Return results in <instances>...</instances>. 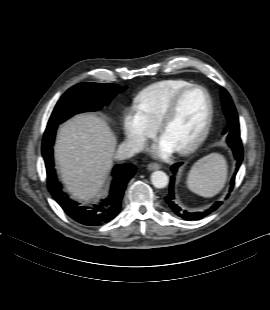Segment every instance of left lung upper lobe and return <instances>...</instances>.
<instances>
[{
	"label": "left lung upper lobe",
	"instance_id": "5c2ea615",
	"mask_svg": "<svg viewBox=\"0 0 270 310\" xmlns=\"http://www.w3.org/2000/svg\"><path fill=\"white\" fill-rule=\"evenodd\" d=\"M220 94L223 111L228 123L227 128H225L224 130V133L227 132L226 141L229 145H232L237 141H241L238 116L233 101L228 92L224 88H221Z\"/></svg>",
	"mask_w": 270,
	"mask_h": 310
}]
</instances>
